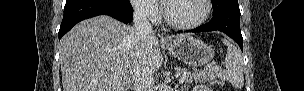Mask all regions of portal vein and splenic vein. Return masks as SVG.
<instances>
[{
    "mask_svg": "<svg viewBox=\"0 0 304 91\" xmlns=\"http://www.w3.org/2000/svg\"><path fill=\"white\" fill-rule=\"evenodd\" d=\"M208 66H212V65H208ZM189 73H190V72H185V73H183V74L180 76L179 81H180V82L185 81L186 78H187V75H188Z\"/></svg>",
    "mask_w": 304,
    "mask_h": 91,
    "instance_id": "18ae733b",
    "label": "portal vein and splenic vein"
}]
</instances>
